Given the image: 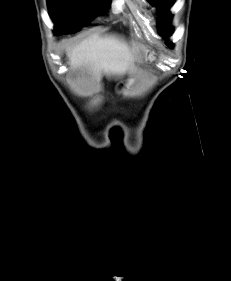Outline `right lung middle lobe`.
Instances as JSON below:
<instances>
[{"label":"right lung middle lobe","instance_id":"dd1d6c3e","mask_svg":"<svg viewBox=\"0 0 231 281\" xmlns=\"http://www.w3.org/2000/svg\"><path fill=\"white\" fill-rule=\"evenodd\" d=\"M55 34L76 32L91 20L109 0H47Z\"/></svg>","mask_w":231,"mask_h":281}]
</instances>
